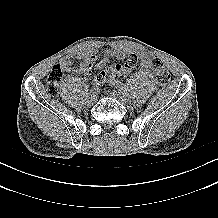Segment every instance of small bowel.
<instances>
[{
	"label": "small bowel",
	"instance_id": "c3829d8e",
	"mask_svg": "<svg viewBox=\"0 0 218 218\" xmlns=\"http://www.w3.org/2000/svg\"><path fill=\"white\" fill-rule=\"evenodd\" d=\"M102 56V59L98 64H95L96 60ZM115 57L119 60H126L123 65V73L124 75L129 74L137 65L140 60V64L144 68H148L151 66L153 57L148 52H134L124 50L118 47L107 49V50H83L76 51L71 53L69 56H66L60 60V66L65 71H69L72 69V61L71 59L76 58L80 59V67L79 70L86 75H92L95 69H103L109 65V59ZM95 84L98 85V81L95 78Z\"/></svg>",
	"mask_w": 218,
	"mask_h": 218
}]
</instances>
